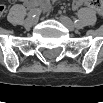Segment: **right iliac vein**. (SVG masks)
Wrapping results in <instances>:
<instances>
[{"label":"right iliac vein","instance_id":"1","mask_svg":"<svg viewBox=\"0 0 103 103\" xmlns=\"http://www.w3.org/2000/svg\"><path fill=\"white\" fill-rule=\"evenodd\" d=\"M35 24V19L34 18H28L25 23L24 26L25 27H32Z\"/></svg>","mask_w":103,"mask_h":103}]
</instances>
